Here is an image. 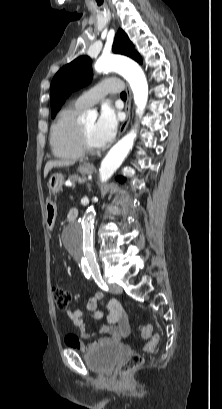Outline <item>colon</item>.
I'll list each match as a JSON object with an SVG mask.
<instances>
[{
    "mask_svg": "<svg viewBox=\"0 0 222 409\" xmlns=\"http://www.w3.org/2000/svg\"><path fill=\"white\" fill-rule=\"evenodd\" d=\"M53 293V297H54V301L55 304L57 306L58 309L60 310H65L68 308V305L70 303V299H71V295L70 293L62 288L59 287H55L52 290ZM152 332V327L151 325H145L142 328V336L144 338H149ZM160 340V336L159 334H154L150 340L148 341V343L145 346V351L147 353H152L154 352L157 344L159 343ZM143 357L142 355L135 353L130 355L125 362L121 365L120 367V371H119V376L118 379L120 381H125L126 380V376L133 370H135L136 368H138L139 366H141L143 364Z\"/></svg>",
    "mask_w": 222,
    "mask_h": 409,
    "instance_id": "1",
    "label": "colon"
}]
</instances>
